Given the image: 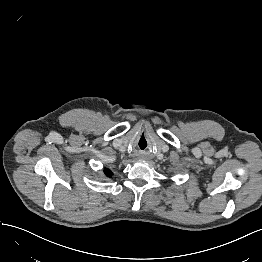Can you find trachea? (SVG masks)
<instances>
[{"mask_svg": "<svg viewBox=\"0 0 262 262\" xmlns=\"http://www.w3.org/2000/svg\"><path fill=\"white\" fill-rule=\"evenodd\" d=\"M146 145H147L146 139L144 137H141L139 140V146H143L145 148Z\"/></svg>", "mask_w": 262, "mask_h": 262, "instance_id": "trachea-1", "label": "trachea"}]
</instances>
